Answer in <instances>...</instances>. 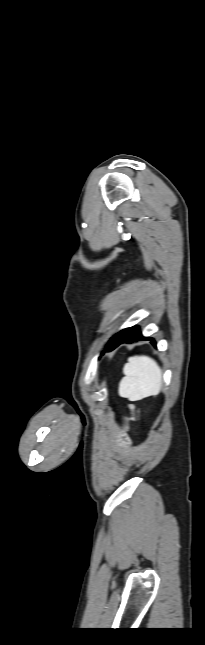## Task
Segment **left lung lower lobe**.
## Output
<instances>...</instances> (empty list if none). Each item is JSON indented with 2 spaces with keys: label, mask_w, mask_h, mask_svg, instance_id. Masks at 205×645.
<instances>
[{
  "label": "left lung lower lobe",
  "mask_w": 205,
  "mask_h": 645,
  "mask_svg": "<svg viewBox=\"0 0 205 645\" xmlns=\"http://www.w3.org/2000/svg\"><path fill=\"white\" fill-rule=\"evenodd\" d=\"M151 340L152 344L155 345V341L152 338H144L138 327H130L119 331L115 334L108 342L105 351H112L121 343H132L139 340Z\"/></svg>",
  "instance_id": "0a47b994"
}]
</instances>
